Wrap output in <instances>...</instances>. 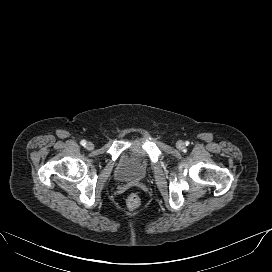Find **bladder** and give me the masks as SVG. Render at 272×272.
<instances>
[{"label":"bladder","instance_id":"bladder-1","mask_svg":"<svg viewBox=\"0 0 272 272\" xmlns=\"http://www.w3.org/2000/svg\"><path fill=\"white\" fill-rule=\"evenodd\" d=\"M150 171L147 154L138 149H129L118 158L113 175L121 183H139L144 181Z\"/></svg>","mask_w":272,"mask_h":272}]
</instances>
